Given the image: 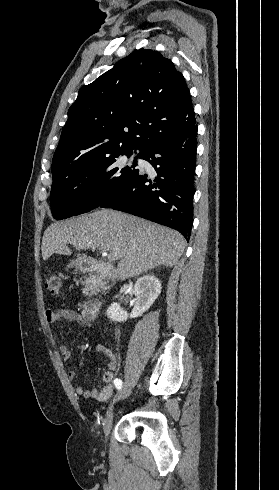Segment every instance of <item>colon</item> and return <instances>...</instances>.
<instances>
[{"instance_id":"obj_1","label":"colon","mask_w":279,"mask_h":490,"mask_svg":"<svg viewBox=\"0 0 279 490\" xmlns=\"http://www.w3.org/2000/svg\"><path fill=\"white\" fill-rule=\"evenodd\" d=\"M44 287L49 293L59 295L61 293V279L56 275L50 276L45 279Z\"/></svg>"}]
</instances>
